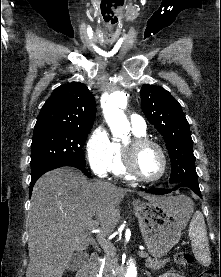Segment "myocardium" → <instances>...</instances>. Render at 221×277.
I'll return each instance as SVG.
<instances>
[{
  "mask_svg": "<svg viewBox=\"0 0 221 277\" xmlns=\"http://www.w3.org/2000/svg\"><path fill=\"white\" fill-rule=\"evenodd\" d=\"M147 147L156 148L162 160L161 172L154 178H146L142 176L136 166V159L139 152ZM123 164L126 172L132 178L144 183H155L164 177L167 171L168 160L164 148L158 142L146 137H134L128 143L123 145Z\"/></svg>",
  "mask_w": 221,
  "mask_h": 277,
  "instance_id": "obj_1",
  "label": "myocardium"
}]
</instances>
